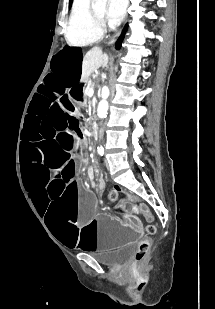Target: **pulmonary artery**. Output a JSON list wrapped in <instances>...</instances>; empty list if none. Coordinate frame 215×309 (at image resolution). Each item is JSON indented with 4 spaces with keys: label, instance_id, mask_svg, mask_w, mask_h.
<instances>
[{
    "label": "pulmonary artery",
    "instance_id": "pulmonary-artery-1",
    "mask_svg": "<svg viewBox=\"0 0 215 309\" xmlns=\"http://www.w3.org/2000/svg\"><path fill=\"white\" fill-rule=\"evenodd\" d=\"M88 0H75L74 1V10L77 11L78 16H83L84 11L87 10Z\"/></svg>",
    "mask_w": 215,
    "mask_h": 309
}]
</instances>
